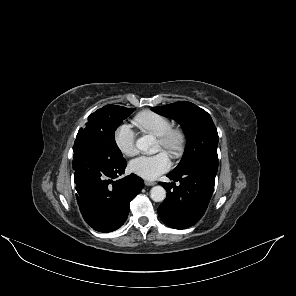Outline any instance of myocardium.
Listing matches in <instances>:
<instances>
[{
  "mask_svg": "<svg viewBox=\"0 0 296 296\" xmlns=\"http://www.w3.org/2000/svg\"><path fill=\"white\" fill-rule=\"evenodd\" d=\"M157 141L172 158L178 159L184 152L186 137L181 128L171 127L163 135L157 137Z\"/></svg>",
  "mask_w": 296,
  "mask_h": 296,
  "instance_id": "1",
  "label": "myocardium"
}]
</instances>
